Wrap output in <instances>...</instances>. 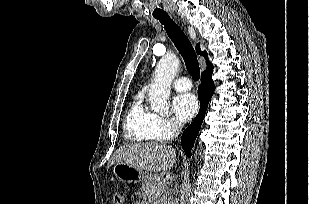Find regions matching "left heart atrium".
<instances>
[{
    "label": "left heart atrium",
    "mask_w": 309,
    "mask_h": 204,
    "mask_svg": "<svg viewBox=\"0 0 309 204\" xmlns=\"http://www.w3.org/2000/svg\"><path fill=\"white\" fill-rule=\"evenodd\" d=\"M173 110L180 121L187 122L197 113L198 100L192 93L179 94L173 99Z\"/></svg>",
    "instance_id": "39dd6f15"
}]
</instances>
